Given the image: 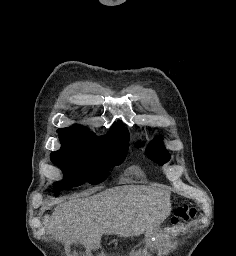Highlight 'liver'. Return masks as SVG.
<instances>
[{
	"instance_id": "obj_1",
	"label": "liver",
	"mask_w": 236,
	"mask_h": 256,
	"mask_svg": "<svg viewBox=\"0 0 236 256\" xmlns=\"http://www.w3.org/2000/svg\"><path fill=\"white\" fill-rule=\"evenodd\" d=\"M169 194L151 186H117L94 196L58 204L51 216L55 236L69 244H83L87 254L101 248L102 236H138L155 216L165 220L171 212Z\"/></svg>"
}]
</instances>
